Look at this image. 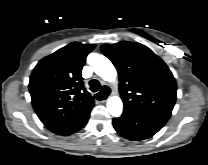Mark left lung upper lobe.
<instances>
[{"mask_svg": "<svg viewBox=\"0 0 208 165\" xmlns=\"http://www.w3.org/2000/svg\"><path fill=\"white\" fill-rule=\"evenodd\" d=\"M115 65L124 111L169 119L176 101V82L161 58L140 43L121 41L101 46Z\"/></svg>", "mask_w": 208, "mask_h": 165, "instance_id": "1", "label": "left lung upper lobe"}]
</instances>
